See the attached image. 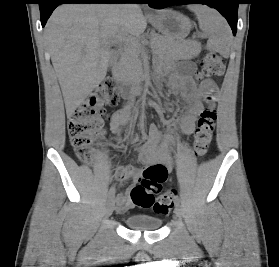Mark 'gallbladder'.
Returning a JSON list of instances; mask_svg holds the SVG:
<instances>
[{"label":"gallbladder","instance_id":"gallbladder-1","mask_svg":"<svg viewBox=\"0 0 279 267\" xmlns=\"http://www.w3.org/2000/svg\"><path fill=\"white\" fill-rule=\"evenodd\" d=\"M109 66H111V62H109Z\"/></svg>","mask_w":279,"mask_h":267}]
</instances>
